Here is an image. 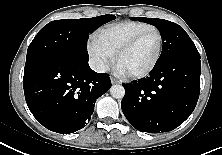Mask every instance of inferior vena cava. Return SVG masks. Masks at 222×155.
Here are the masks:
<instances>
[{
	"label": "inferior vena cava",
	"instance_id": "inferior-vena-cava-1",
	"mask_svg": "<svg viewBox=\"0 0 222 155\" xmlns=\"http://www.w3.org/2000/svg\"><path fill=\"white\" fill-rule=\"evenodd\" d=\"M89 65L91 67L92 70H94L95 72H105L106 71V66L104 64V62L100 59H96V58H91L89 60Z\"/></svg>",
	"mask_w": 222,
	"mask_h": 155
}]
</instances>
